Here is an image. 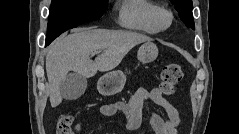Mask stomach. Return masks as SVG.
I'll list each match as a JSON object with an SVG mask.
<instances>
[{
  "label": "stomach",
  "instance_id": "obj_1",
  "mask_svg": "<svg viewBox=\"0 0 239 134\" xmlns=\"http://www.w3.org/2000/svg\"><path fill=\"white\" fill-rule=\"evenodd\" d=\"M158 56L157 46L147 41L142 44L137 52V58L142 63H150ZM126 82V75L120 71L115 70L103 75L97 83L98 90L103 95H114L122 90Z\"/></svg>",
  "mask_w": 239,
  "mask_h": 134
}]
</instances>
